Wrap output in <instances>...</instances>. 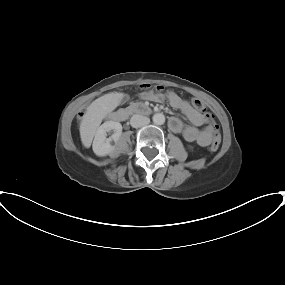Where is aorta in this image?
<instances>
[{"instance_id":"1","label":"aorta","mask_w":285,"mask_h":285,"mask_svg":"<svg viewBox=\"0 0 285 285\" xmlns=\"http://www.w3.org/2000/svg\"><path fill=\"white\" fill-rule=\"evenodd\" d=\"M152 119L156 125H162L165 123V116L162 113L154 114Z\"/></svg>"}]
</instances>
